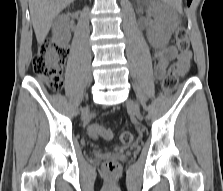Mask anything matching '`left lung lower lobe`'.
<instances>
[{"instance_id":"obj_1","label":"left lung lower lobe","mask_w":223,"mask_h":191,"mask_svg":"<svg viewBox=\"0 0 223 191\" xmlns=\"http://www.w3.org/2000/svg\"><path fill=\"white\" fill-rule=\"evenodd\" d=\"M187 1H188V5H190V3H191L192 0H187Z\"/></svg>"}]
</instances>
